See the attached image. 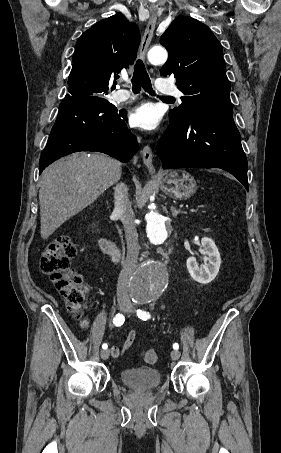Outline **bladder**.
<instances>
[{"label":"bladder","mask_w":281,"mask_h":453,"mask_svg":"<svg viewBox=\"0 0 281 453\" xmlns=\"http://www.w3.org/2000/svg\"><path fill=\"white\" fill-rule=\"evenodd\" d=\"M119 377L125 385L136 389H151L161 383L159 371L149 367L123 369Z\"/></svg>","instance_id":"obj_1"}]
</instances>
